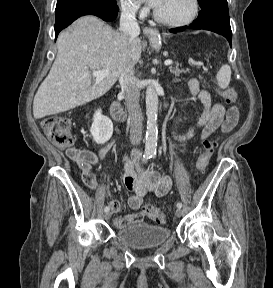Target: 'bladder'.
I'll list each match as a JSON object with an SVG mask.
<instances>
[{
  "instance_id": "obj_1",
  "label": "bladder",
  "mask_w": 273,
  "mask_h": 288,
  "mask_svg": "<svg viewBox=\"0 0 273 288\" xmlns=\"http://www.w3.org/2000/svg\"><path fill=\"white\" fill-rule=\"evenodd\" d=\"M170 237L167 228L147 223L125 226L116 233L119 242L134 249L159 247Z\"/></svg>"
}]
</instances>
